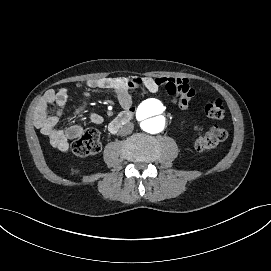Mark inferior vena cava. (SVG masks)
Masks as SVG:
<instances>
[{
	"label": "inferior vena cava",
	"mask_w": 271,
	"mask_h": 271,
	"mask_svg": "<svg viewBox=\"0 0 271 271\" xmlns=\"http://www.w3.org/2000/svg\"><path fill=\"white\" fill-rule=\"evenodd\" d=\"M131 130H132V128H131L130 124L128 123V124L124 125V126L119 130V134H120V135H125V134H127V133H130Z\"/></svg>",
	"instance_id": "obj_1"
}]
</instances>
